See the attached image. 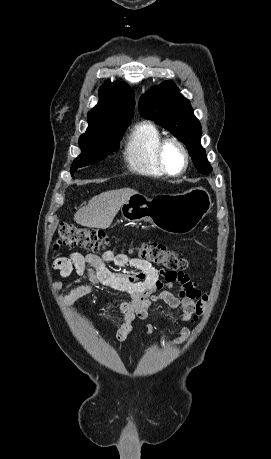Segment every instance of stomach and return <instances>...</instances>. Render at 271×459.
Instances as JSON below:
<instances>
[{
    "instance_id": "obj_1",
    "label": "stomach",
    "mask_w": 271,
    "mask_h": 459,
    "mask_svg": "<svg viewBox=\"0 0 271 459\" xmlns=\"http://www.w3.org/2000/svg\"><path fill=\"white\" fill-rule=\"evenodd\" d=\"M211 208L209 192L204 188H194L185 194H161L152 200L135 194L120 210L129 224L145 220L162 231L182 235L195 229Z\"/></svg>"
}]
</instances>
